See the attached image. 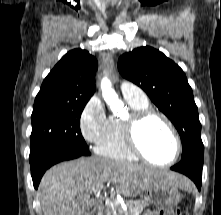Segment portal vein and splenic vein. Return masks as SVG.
<instances>
[{
  "label": "portal vein and splenic vein",
  "mask_w": 221,
  "mask_h": 215,
  "mask_svg": "<svg viewBox=\"0 0 221 215\" xmlns=\"http://www.w3.org/2000/svg\"><path fill=\"white\" fill-rule=\"evenodd\" d=\"M99 190H101V189H99ZM112 205V208H114L115 206H113V204H111Z\"/></svg>",
  "instance_id": "obj_1"
}]
</instances>
